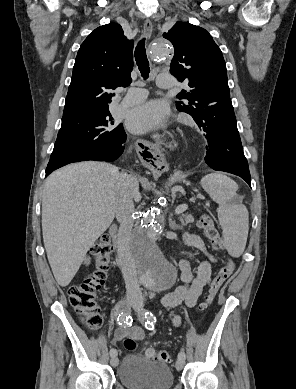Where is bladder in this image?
<instances>
[{"label":"bladder","instance_id":"bladder-1","mask_svg":"<svg viewBox=\"0 0 296 389\" xmlns=\"http://www.w3.org/2000/svg\"><path fill=\"white\" fill-rule=\"evenodd\" d=\"M118 379L127 389H171L174 384L168 365L134 353L124 356L118 368Z\"/></svg>","mask_w":296,"mask_h":389}]
</instances>
